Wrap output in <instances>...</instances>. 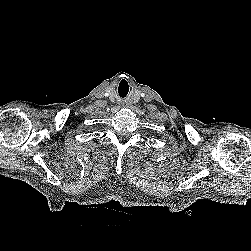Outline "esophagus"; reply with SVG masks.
<instances>
[{
    "mask_svg": "<svg viewBox=\"0 0 251 251\" xmlns=\"http://www.w3.org/2000/svg\"><path fill=\"white\" fill-rule=\"evenodd\" d=\"M120 105H121L122 107H128V106H129V104H127V103H125V102H121Z\"/></svg>",
    "mask_w": 251,
    "mask_h": 251,
    "instance_id": "1",
    "label": "esophagus"
}]
</instances>
